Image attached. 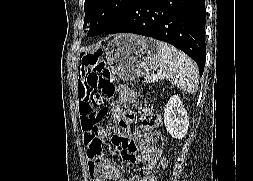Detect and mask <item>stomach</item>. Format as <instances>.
<instances>
[{"mask_svg": "<svg viewBox=\"0 0 253 181\" xmlns=\"http://www.w3.org/2000/svg\"><path fill=\"white\" fill-rule=\"evenodd\" d=\"M111 71L123 80L153 73L160 60L158 41L132 34H120L105 48Z\"/></svg>", "mask_w": 253, "mask_h": 181, "instance_id": "1", "label": "stomach"}]
</instances>
